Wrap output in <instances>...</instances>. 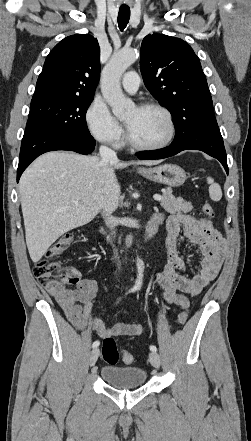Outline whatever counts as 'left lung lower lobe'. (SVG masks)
<instances>
[{
  "mask_svg": "<svg viewBox=\"0 0 251 441\" xmlns=\"http://www.w3.org/2000/svg\"><path fill=\"white\" fill-rule=\"evenodd\" d=\"M176 130L173 142L166 148L138 155L141 160L163 159L184 150H200L218 159L228 174L223 138L215 116L198 115L185 120Z\"/></svg>",
  "mask_w": 251,
  "mask_h": 441,
  "instance_id": "obj_1",
  "label": "left lung lower lobe"
}]
</instances>
